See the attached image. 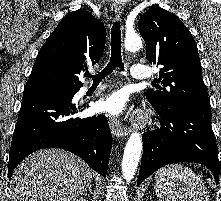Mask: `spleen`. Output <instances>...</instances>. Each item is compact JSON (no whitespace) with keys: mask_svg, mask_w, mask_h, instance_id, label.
Returning <instances> with one entry per match:
<instances>
[{"mask_svg":"<svg viewBox=\"0 0 221 201\" xmlns=\"http://www.w3.org/2000/svg\"><path fill=\"white\" fill-rule=\"evenodd\" d=\"M154 188L160 201H209L203 181L182 164H170L158 170Z\"/></svg>","mask_w":221,"mask_h":201,"instance_id":"1","label":"spleen"}]
</instances>
